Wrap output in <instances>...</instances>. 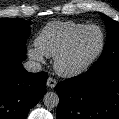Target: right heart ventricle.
I'll return each mask as SVG.
<instances>
[{
    "mask_svg": "<svg viewBox=\"0 0 119 119\" xmlns=\"http://www.w3.org/2000/svg\"><path fill=\"white\" fill-rule=\"evenodd\" d=\"M84 26L85 24L73 21L50 22L41 30L36 38V47L43 55L56 57L74 33Z\"/></svg>",
    "mask_w": 119,
    "mask_h": 119,
    "instance_id": "obj_1",
    "label": "right heart ventricle"
}]
</instances>
